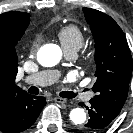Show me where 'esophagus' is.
<instances>
[{
  "mask_svg": "<svg viewBox=\"0 0 133 133\" xmlns=\"http://www.w3.org/2000/svg\"><path fill=\"white\" fill-rule=\"evenodd\" d=\"M54 101L60 104H65L66 103V99L61 98V97H55Z\"/></svg>",
  "mask_w": 133,
  "mask_h": 133,
  "instance_id": "1",
  "label": "esophagus"
}]
</instances>
